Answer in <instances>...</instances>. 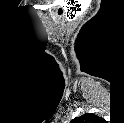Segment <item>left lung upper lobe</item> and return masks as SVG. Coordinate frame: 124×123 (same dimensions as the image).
<instances>
[{
    "label": "left lung upper lobe",
    "mask_w": 124,
    "mask_h": 123,
    "mask_svg": "<svg viewBox=\"0 0 124 123\" xmlns=\"http://www.w3.org/2000/svg\"><path fill=\"white\" fill-rule=\"evenodd\" d=\"M98 117L94 114L86 113L80 117H75L71 123H90L94 119H97Z\"/></svg>",
    "instance_id": "left-lung-upper-lobe-1"
}]
</instances>
